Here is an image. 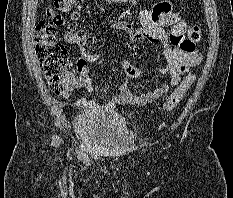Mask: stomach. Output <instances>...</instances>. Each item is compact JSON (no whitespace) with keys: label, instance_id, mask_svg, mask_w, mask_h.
Masks as SVG:
<instances>
[{"label":"stomach","instance_id":"obj_1","mask_svg":"<svg viewBox=\"0 0 233 198\" xmlns=\"http://www.w3.org/2000/svg\"><path fill=\"white\" fill-rule=\"evenodd\" d=\"M109 1L113 3H123V2H127L128 0H109Z\"/></svg>","mask_w":233,"mask_h":198}]
</instances>
